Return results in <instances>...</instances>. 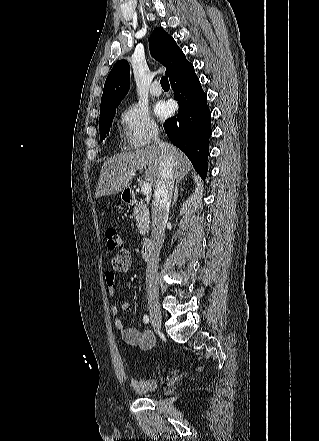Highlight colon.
I'll return each instance as SVG.
<instances>
[{
    "label": "colon",
    "instance_id": "5ec220e1",
    "mask_svg": "<svg viewBox=\"0 0 319 441\" xmlns=\"http://www.w3.org/2000/svg\"><path fill=\"white\" fill-rule=\"evenodd\" d=\"M105 236L109 250H116L123 246V239L115 228L108 227L105 230Z\"/></svg>",
    "mask_w": 319,
    "mask_h": 441
}]
</instances>
